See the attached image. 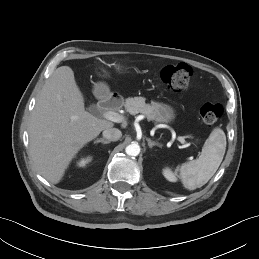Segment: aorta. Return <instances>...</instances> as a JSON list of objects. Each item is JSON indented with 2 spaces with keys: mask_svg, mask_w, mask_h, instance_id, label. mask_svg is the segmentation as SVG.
Returning a JSON list of instances; mask_svg holds the SVG:
<instances>
[{
  "mask_svg": "<svg viewBox=\"0 0 259 259\" xmlns=\"http://www.w3.org/2000/svg\"><path fill=\"white\" fill-rule=\"evenodd\" d=\"M125 152L129 156H137L140 153V146L136 143L130 144L125 148Z\"/></svg>",
  "mask_w": 259,
  "mask_h": 259,
  "instance_id": "1",
  "label": "aorta"
}]
</instances>
